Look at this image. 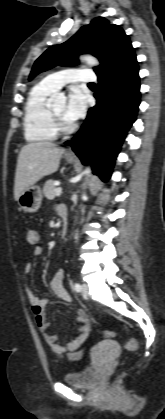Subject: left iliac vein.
<instances>
[{"label":"left iliac vein","instance_id":"4c4485c4","mask_svg":"<svg viewBox=\"0 0 165 419\" xmlns=\"http://www.w3.org/2000/svg\"><path fill=\"white\" fill-rule=\"evenodd\" d=\"M81 295L84 299H88L89 297V288L86 284L81 286Z\"/></svg>","mask_w":165,"mask_h":419}]
</instances>
